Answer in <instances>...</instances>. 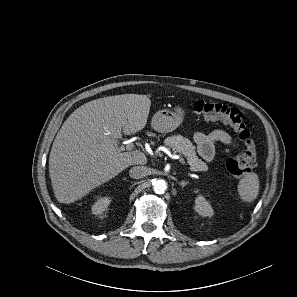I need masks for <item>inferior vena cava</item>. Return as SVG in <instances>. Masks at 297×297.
Wrapping results in <instances>:
<instances>
[{
	"label": "inferior vena cava",
	"instance_id": "obj_1",
	"mask_svg": "<svg viewBox=\"0 0 297 297\" xmlns=\"http://www.w3.org/2000/svg\"><path fill=\"white\" fill-rule=\"evenodd\" d=\"M148 168L145 166H134L130 169L129 175L131 178L140 179L148 175Z\"/></svg>",
	"mask_w": 297,
	"mask_h": 297
}]
</instances>
